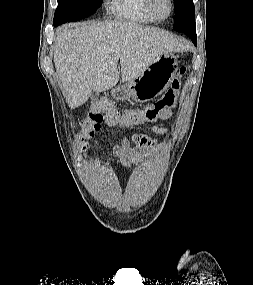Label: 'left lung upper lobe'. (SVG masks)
I'll use <instances>...</instances> for the list:
<instances>
[{
	"label": "left lung upper lobe",
	"mask_w": 253,
	"mask_h": 285,
	"mask_svg": "<svg viewBox=\"0 0 253 285\" xmlns=\"http://www.w3.org/2000/svg\"><path fill=\"white\" fill-rule=\"evenodd\" d=\"M175 31H188L195 27V8L192 0H174Z\"/></svg>",
	"instance_id": "obj_1"
}]
</instances>
